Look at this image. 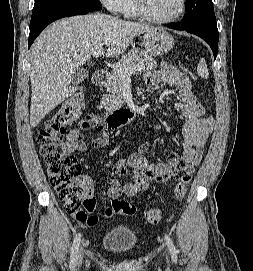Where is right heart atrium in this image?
Segmentation results:
<instances>
[{
    "label": "right heart atrium",
    "mask_w": 253,
    "mask_h": 271,
    "mask_svg": "<svg viewBox=\"0 0 253 271\" xmlns=\"http://www.w3.org/2000/svg\"><path fill=\"white\" fill-rule=\"evenodd\" d=\"M101 2L112 12H121L126 0H101Z\"/></svg>",
    "instance_id": "d8ad5b80"
}]
</instances>
